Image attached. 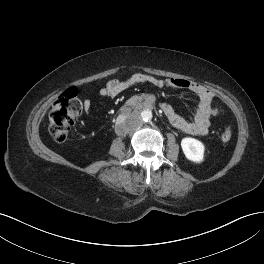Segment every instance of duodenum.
Segmentation results:
<instances>
[{
  "label": "duodenum",
  "mask_w": 264,
  "mask_h": 264,
  "mask_svg": "<svg viewBox=\"0 0 264 264\" xmlns=\"http://www.w3.org/2000/svg\"><path fill=\"white\" fill-rule=\"evenodd\" d=\"M136 103H138L137 107L139 109L151 108L154 105V100L148 95H143V96L136 98L133 101V105ZM133 114H134L133 110L130 109V110L125 111L122 115L128 118L129 116H132Z\"/></svg>",
  "instance_id": "1"
}]
</instances>
